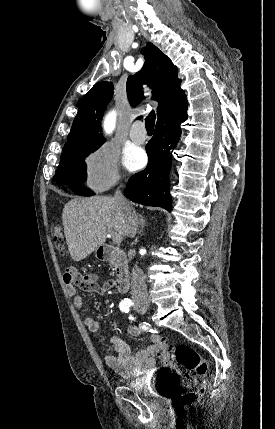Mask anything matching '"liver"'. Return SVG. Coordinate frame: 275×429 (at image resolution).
I'll return each mask as SVG.
<instances>
[{"mask_svg":"<svg viewBox=\"0 0 275 429\" xmlns=\"http://www.w3.org/2000/svg\"><path fill=\"white\" fill-rule=\"evenodd\" d=\"M62 221L70 255L81 261L105 243L107 232H125V217L114 197L74 198L65 204Z\"/></svg>","mask_w":275,"mask_h":429,"instance_id":"liver-1","label":"liver"}]
</instances>
